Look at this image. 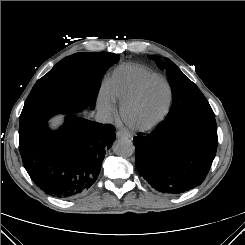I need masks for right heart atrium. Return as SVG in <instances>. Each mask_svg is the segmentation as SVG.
Listing matches in <instances>:
<instances>
[{
    "mask_svg": "<svg viewBox=\"0 0 245 245\" xmlns=\"http://www.w3.org/2000/svg\"><path fill=\"white\" fill-rule=\"evenodd\" d=\"M97 106L100 112L106 117L116 115L117 109L115 100L107 88H103L98 96Z\"/></svg>",
    "mask_w": 245,
    "mask_h": 245,
    "instance_id": "1",
    "label": "right heart atrium"
}]
</instances>
